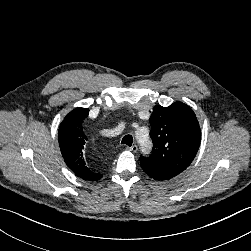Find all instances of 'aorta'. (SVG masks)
<instances>
[{
    "mask_svg": "<svg viewBox=\"0 0 251 251\" xmlns=\"http://www.w3.org/2000/svg\"><path fill=\"white\" fill-rule=\"evenodd\" d=\"M138 140H139V143L141 145L142 151L144 153H147L151 148V142L148 139V137H144V138L138 137Z\"/></svg>",
    "mask_w": 251,
    "mask_h": 251,
    "instance_id": "aorta-1",
    "label": "aorta"
}]
</instances>
